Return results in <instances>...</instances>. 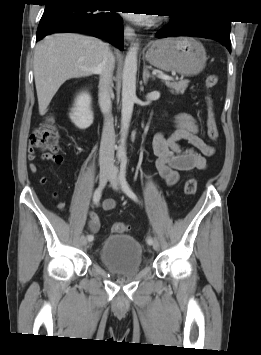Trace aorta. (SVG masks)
I'll return each mask as SVG.
<instances>
[{
  "mask_svg": "<svg viewBox=\"0 0 261 355\" xmlns=\"http://www.w3.org/2000/svg\"><path fill=\"white\" fill-rule=\"evenodd\" d=\"M139 43H134L128 49L122 73V110H121V137L118 154L125 156V144L130 125L134 102L136 99V73Z\"/></svg>",
  "mask_w": 261,
  "mask_h": 355,
  "instance_id": "1",
  "label": "aorta"
}]
</instances>
